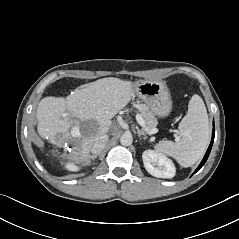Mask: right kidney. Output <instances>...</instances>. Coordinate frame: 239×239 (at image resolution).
Returning <instances> with one entry per match:
<instances>
[{
	"instance_id": "obj_1",
	"label": "right kidney",
	"mask_w": 239,
	"mask_h": 239,
	"mask_svg": "<svg viewBox=\"0 0 239 239\" xmlns=\"http://www.w3.org/2000/svg\"><path fill=\"white\" fill-rule=\"evenodd\" d=\"M66 168H67L68 170H70V171H77V170H79V168H78L75 164H71V163H68V164L66 165Z\"/></svg>"
}]
</instances>
